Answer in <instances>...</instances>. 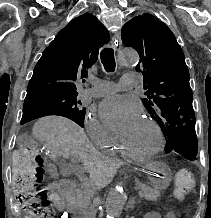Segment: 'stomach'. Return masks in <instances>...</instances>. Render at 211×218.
<instances>
[{
    "mask_svg": "<svg viewBox=\"0 0 211 218\" xmlns=\"http://www.w3.org/2000/svg\"><path fill=\"white\" fill-rule=\"evenodd\" d=\"M149 179L156 190L166 189L171 181L170 168L162 162L153 163L147 171Z\"/></svg>",
    "mask_w": 211,
    "mask_h": 218,
    "instance_id": "1",
    "label": "stomach"
}]
</instances>
